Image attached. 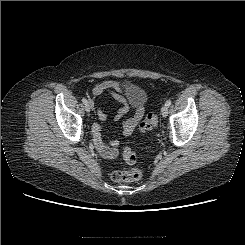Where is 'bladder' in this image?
Instances as JSON below:
<instances>
[{"instance_id":"1","label":"bladder","mask_w":245,"mask_h":245,"mask_svg":"<svg viewBox=\"0 0 245 245\" xmlns=\"http://www.w3.org/2000/svg\"><path fill=\"white\" fill-rule=\"evenodd\" d=\"M127 98L132 104H143L147 98V92L138 85H133L130 87Z\"/></svg>"}]
</instances>
